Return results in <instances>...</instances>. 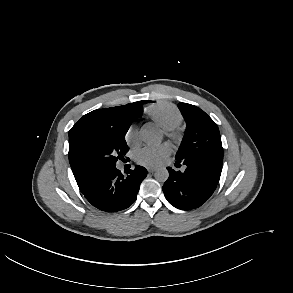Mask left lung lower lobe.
I'll list each match as a JSON object with an SVG mask.
<instances>
[{
    "instance_id": "left-lung-lower-lobe-1",
    "label": "left lung lower lobe",
    "mask_w": 293,
    "mask_h": 293,
    "mask_svg": "<svg viewBox=\"0 0 293 293\" xmlns=\"http://www.w3.org/2000/svg\"><path fill=\"white\" fill-rule=\"evenodd\" d=\"M176 160V164L183 162L187 167L184 172L167 168L169 178L163 185L164 195L176 208H197L205 203L216 189L223 162L204 156Z\"/></svg>"
}]
</instances>
